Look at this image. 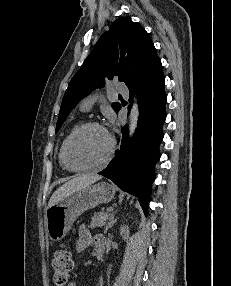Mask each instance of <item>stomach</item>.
I'll list each match as a JSON object with an SVG mask.
<instances>
[{
  "mask_svg": "<svg viewBox=\"0 0 231 286\" xmlns=\"http://www.w3.org/2000/svg\"><path fill=\"white\" fill-rule=\"evenodd\" d=\"M115 187L102 181L79 189L46 210V231L51 241L62 240L75 220L86 210L109 203Z\"/></svg>",
  "mask_w": 231,
  "mask_h": 286,
  "instance_id": "stomach-1",
  "label": "stomach"
}]
</instances>
